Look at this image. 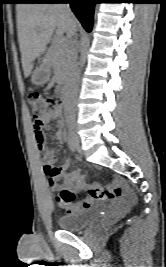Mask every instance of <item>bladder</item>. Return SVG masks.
<instances>
[{"instance_id": "bladder-1", "label": "bladder", "mask_w": 166, "mask_h": 267, "mask_svg": "<svg viewBox=\"0 0 166 267\" xmlns=\"http://www.w3.org/2000/svg\"><path fill=\"white\" fill-rule=\"evenodd\" d=\"M99 218L97 209L82 210L59 217L58 225L62 230L75 231L96 222Z\"/></svg>"}]
</instances>
